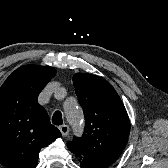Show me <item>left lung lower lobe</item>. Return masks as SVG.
Wrapping results in <instances>:
<instances>
[{
  "instance_id": "1",
  "label": "left lung lower lobe",
  "mask_w": 168,
  "mask_h": 168,
  "mask_svg": "<svg viewBox=\"0 0 168 168\" xmlns=\"http://www.w3.org/2000/svg\"><path fill=\"white\" fill-rule=\"evenodd\" d=\"M78 158L82 168H107V166L102 165L87 157H78Z\"/></svg>"
}]
</instances>
